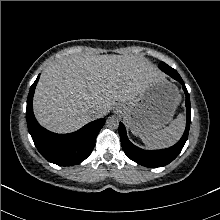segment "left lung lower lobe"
Segmentation results:
<instances>
[{
  "instance_id": "1",
  "label": "left lung lower lobe",
  "mask_w": 220,
  "mask_h": 220,
  "mask_svg": "<svg viewBox=\"0 0 220 220\" xmlns=\"http://www.w3.org/2000/svg\"><path fill=\"white\" fill-rule=\"evenodd\" d=\"M159 68L175 80L179 81L183 86L186 95V128L182 138L174 146L167 149L143 150L129 141L124 125L121 122L119 123L121 145L126 156L140 165L151 168L165 166L178 156L187 141L191 119L190 97L182 78L175 69L171 68L164 62L159 64Z\"/></svg>"
}]
</instances>
